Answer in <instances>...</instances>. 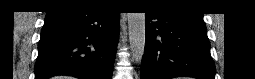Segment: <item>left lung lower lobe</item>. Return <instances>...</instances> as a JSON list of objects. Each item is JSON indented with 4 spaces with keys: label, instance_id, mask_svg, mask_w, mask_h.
I'll return each mask as SVG.
<instances>
[{
    "label": "left lung lower lobe",
    "instance_id": "obj_1",
    "mask_svg": "<svg viewBox=\"0 0 255 79\" xmlns=\"http://www.w3.org/2000/svg\"><path fill=\"white\" fill-rule=\"evenodd\" d=\"M146 13L141 79H214L215 65L202 14L160 6Z\"/></svg>",
    "mask_w": 255,
    "mask_h": 79
}]
</instances>
